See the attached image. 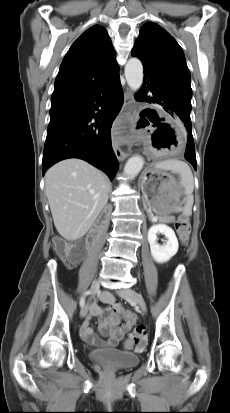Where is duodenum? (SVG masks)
Here are the masks:
<instances>
[{
	"mask_svg": "<svg viewBox=\"0 0 230 413\" xmlns=\"http://www.w3.org/2000/svg\"><path fill=\"white\" fill-rule=\"evenodd\" d=\"M95 235V233L93 232L92 234H91V237H93Z\"/></svg>",
	"mask_w": 230,
	"mask_h": 413,
	"instance_id": "410a0bca",
	"label": "duodenum"
}]
</instances>
